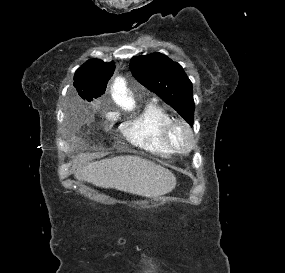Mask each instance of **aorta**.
<instances>
[{"label": "aorta", "instance_id": "obj_1", "mask_svg": "<svg viewBox=\"0 0 285 273\" xmlns=\"http://www.w3.org/2000/svg\"><path fill=\"white\" fill-rule=\"evenodd\" d=\"M112 98L117 105L125 110H133L135 108V101L130 96L126 83L123 78H117L112 87Z\"/></svg>", "mask_w": 285, "mask_h": 273}]
</instances>
